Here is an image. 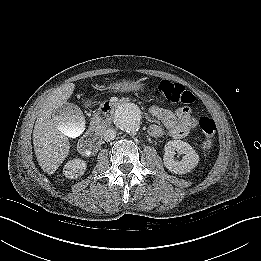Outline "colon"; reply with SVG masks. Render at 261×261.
Returning <instances> with one entry per match:
<instances>
[{
	"label": "colon",
	"mask_w": 261,
	"mask_h": 261,
	"mask_svg": "<svg viewBox=\"0 0 261 261\" xmlns=\"http://www.w3.org/2000/svg\"><path fill=\"white\" fill-rule=\"evenodd\" d=\"M154 89L158 96L172 103L192 104L195 101V96L192 92L187 90L181 84L173 83L168 80H161L154 85ZM109 108L110 105L105 103L101 110L106 112ZM198 124L203 133L202 147L205 151H207L213 145L216 133V124L213 119L205 116L199 119Z\"/></svg>",
	"instance_id": "5ec220e1"
}]
</instances>
